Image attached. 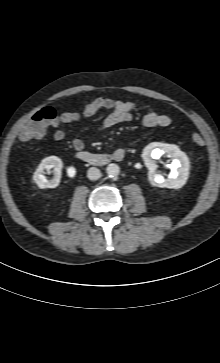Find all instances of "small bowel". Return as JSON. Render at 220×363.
<instances>
[{
  "label": "small bowel",
  "instance_id": "c3829d8e",
  "mask_svg": "<svg viewBox=\"0 0 220 363\" xmlns=\"http://www.w3.org/2000/svg\"><path fill=\"white\" fill-rule=\"evenodd\" d=\"M140 105L135 101L113 100L108 98H98L87 102L81 111H64L51 123L55 129L54 139L61 141L65 133L59 129L61 124L81 122L93 116L99 110L107 109L109 114L101 121L99 128L108 129L118 124L129 121L134 113L138 111ZM172 120L168 115L158 113L151 109H145L142 113L141 124L143 127H168ZM72 146L76 152L84 149V143L79 138H72Z\"/></svg>",
  "mask_w": 220,
  "mask_h": 363
}]
</instances>
